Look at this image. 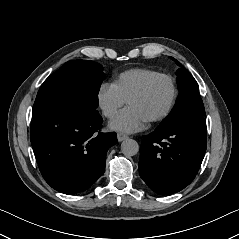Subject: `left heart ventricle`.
Masks as SVG:
<instances>
[{
	"label": "left heart ventricle",
	"mask_w": 239,
	"mask_h": 239,
	"mask_svg": "<svg viewBox=\"0 0 239 239\" xmlns=\"http://www.w3.org/2000/svg\"><path fill=\"white\" fill-rule=\"evenodd\" d=\"M170 84L164 79L155 81L139 98L133 100L129 106L137 110L146 120L161 112L170 98Z\"/></svg>",
	"instance_id": "b2bd125f"
}]
</instances>
